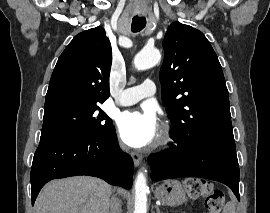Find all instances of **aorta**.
Here are the masks:
<instances>
[{
  "label": "aorta",
  "instance_id": "aorta-1",
  "mask_svg": "<svg viewBox=\"0 0 270 213\" xmlns=\"http://www.w3.org/2000/svg\"><path fill=\"white\" fill-rule=\"evenodd\" d=\"M161 53L156 48L143 49L134 58V66L138 70H146L156 65ZM135 200L133 213H147V179L146 170L139 171L135 179Z\"/></svg>",
  "mask_w": 270,
  "mask_h": 213
}]
</instances>
